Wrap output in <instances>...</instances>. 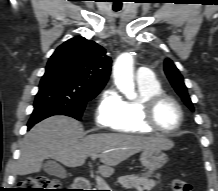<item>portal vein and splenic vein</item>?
<instances>
[{"instance_id":"18ae733b","label":"portal vein and splenic vein","mask_w":218,"mask_h":191,"mask_svg":"<svg viewBox=\"0 0 218 191\" xmlns=\"http://www.w3.org/2000/svg\"><path fill=\"white\" fill-rule=\"evenodd\" d=\"M97 157H99L98 154L97 155H92L91 159L94 160ZM96 183H97V186H98L99 190H107L108 189V186H107L106 182L100 176H96Z\"/></svg>"}]
</instances>
